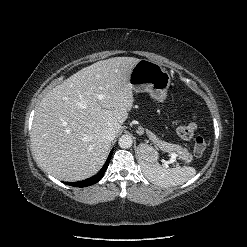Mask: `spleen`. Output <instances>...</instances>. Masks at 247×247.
<instances>
[{"instance_id":"1","label":"spleen","mask_w":247,"mask_h":247,"mask_svg":"<svg viewBox=\"0 0 247 247\" xmlns=\"http://www.w3.org/2000/svg\"><path fill=\"white\" fill-rule=\"evenodd\" d=\"M144 175L161 187L182 185L196 175L193 167L165 168L158 164L142 162Z\"/></svg>"}]
</instances>
